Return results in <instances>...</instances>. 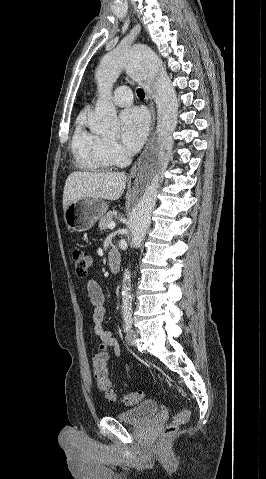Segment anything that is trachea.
<instances>
[{
	"instance_id": "obj_1",
	"label": "trachea",
	"mask_w": 266,
	"mask_h": 479,
	"mask_svg": "<svg viewBox=\"0 0 266 479\" xmlns=\"http://www.w3.org/2000/svg\"><path fill=\"white\" fill-rule=\"evenodd\" d=\"M137 95H138L139 98H144L145 93H144L143 89H137Z\"/></svg>"
}]
</instances>
